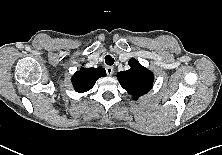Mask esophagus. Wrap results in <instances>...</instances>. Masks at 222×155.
Wrapping results in <instances>:
<instances>
[{
  "instance_id": "1",
  "label": "esophagus",
  "mask_w": 222,
  "mask_h": 155,
  "mask_svg": "<svg viewBox=\"0 0 222 155\" xmlns=\"http://www.w3.org/2000/svg\"><path fill=\"white\" fill-rule=\"evenodd\" d=\"M105 69H106V73L108 76H111L113 74V67L112 66H107Z\"/></svg>"
}]
</instances>
